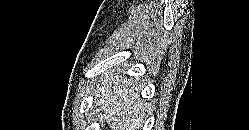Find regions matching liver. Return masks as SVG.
I'll list each match as a JSON object with an SVG mask.
<instances>
[{"label": "liver", "instance_id": "1", "mask_svg": "<svg viewBox=\"0 0 249 130\" xmlns=\"http://www.w3.org/2000/svg\"><path fill=\"white\" fill-rule=\"evenodd\" d=\"M124 68L114 70L101 78L94 91V106L113 130H139L148 104L140 98L141 85L128 78Z\"/></svg>", "mask_w": 249, "mask_h": 130}]
</instances>
